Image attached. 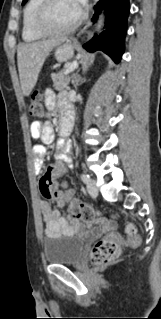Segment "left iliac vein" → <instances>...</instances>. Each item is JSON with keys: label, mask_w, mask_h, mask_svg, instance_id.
<instances>
[{"label": "left iliac vein", "mask_w": 161, "mask_h": 319, "mask_svg": "<svg viewBox=\"0 0 161 319\" xmlns=\"http://www.w3.org/2000/svg\"><path fill=\"white\" fill-rule=\"evenodd\" d=\"M87 190L92 197H96L98 195V188L94 180L91 179L90 182L87 184Z\"/></svg>", "instance_id": "4c4485c4"}]
</instances>
